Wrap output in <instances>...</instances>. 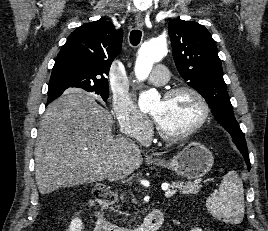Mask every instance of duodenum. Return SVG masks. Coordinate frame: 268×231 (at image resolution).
<instances>
[{"instance_id": "obj_1", "label": "duodenum", "mask_w": 268, "mask_h": 231, "mask_svg": "<svg viewBox=\"0 0 268 231\" xmlns=\"http://www.w3.org/2000/svg\"><path fill=\"white\" fill-rule=\"evenodd\" d=\"M112 200L113 192L108 185H102L94 191V198L92 202L99 203L94 204L96 207L94 212L96 223L95 231H154L161 226L162 214L159 209H154L149 212L143 223L135 229L129 230L115 225L104 216L101 208L103 205L111 203Z\"/></svg>"}]
</instances>
